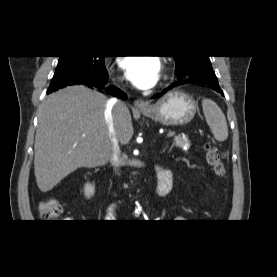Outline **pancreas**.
Segmentation results:
<instances>
[{
    "mask_svg": "<svg viewBox=\"0 0 277 277\" xmlns=\"http://www.w3.org/2000/svg\"><path fill=\"white\" fill-rule=\"evenodd\" d=\"M174 145L183 150L190 148V141L187 137L177 136L174 138Z\"/></svg>",
    "mask_w": 277,
    "mask_h": 277,
    "instance_id": "cf45deb5",
    "label": "pancreas"
}]
</instances>
